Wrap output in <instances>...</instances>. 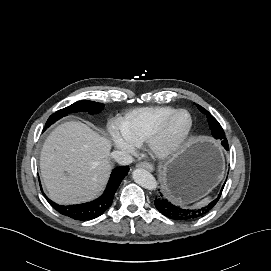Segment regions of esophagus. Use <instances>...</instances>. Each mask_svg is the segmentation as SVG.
<instances>
[{
    "label": "esophagus",
    "instance_id": "esophagus-1",
    "mask_svg": "<svg viewBox=\"0 0 271 271\" xmlns=\"http://www.w3.org/2000/svg\"><path fill=\"white\" fill-rule=\"evenodd\" d=\"M137 167L146 169L148 171H153L154 170V166L149 162H140V163L137 164Z\"/></svg>",
    "mask_w": 271,
    "mask_h": 271
}]
</instances>
